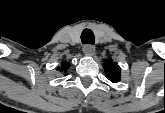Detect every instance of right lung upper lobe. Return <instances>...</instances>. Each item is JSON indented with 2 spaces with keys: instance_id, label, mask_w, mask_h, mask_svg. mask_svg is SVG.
Returning a JSON list of instances; mask_svg holds the SVG:
<instances>
[{
  "instance_id": "1",
  "label": "right lung upper lobe",
  "mask_w": 165,
  "mask_h": 113,
  "mask_svg": "<svg viewBox=\"0 0 165 113\" xmlns=\"http://www.w3.org/2000/svg\"><path fill=\"white\" fill-rule=\"evenodd\" d=\"M69 67H70V64L63 61V62L61 63V67H57V70H59L60 72H64V71H66Z\"/></svg>"
}]
</instances>
